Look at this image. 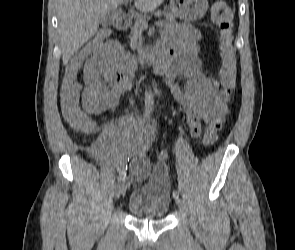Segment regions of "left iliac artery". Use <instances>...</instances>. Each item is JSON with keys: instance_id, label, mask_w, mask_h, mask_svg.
Returning a JSON list of instances; mask_svg holds the SVG:
<instances>
[{"instance_id": "44dca946", "label": "left iliac artery", "mask_w": 295, "mask_h": 250, "mask_svg": "<svg viewBox=\"0 0 295 250\" xmlns=\"http://www.w3.org/2000/svg\"><path fill=\"white\" fill-rule=\"evenodd\" d=\"M173 197H179V192L177 190H173Z\"/></svg>"}]
</instances>
